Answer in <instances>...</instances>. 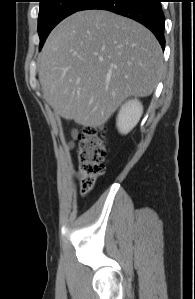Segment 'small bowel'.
Returning a JSON list of instances; mask_svg holds the SVG:
<instances>
[{"label":"small bowel","mask_w":195,"mask_h":299,"mask_svg":"<svg viewBox=\"0 0 195 299\" xmlns=\"http://www.w3.org/2000/svg\"><path fill=\"white\" fill-rule=\"evenodd\" d=\"M72 146H73V144H72V143H70V144H69V147H72Z\"/></svg>","instance_id":"obj_1"}]
</instances>
